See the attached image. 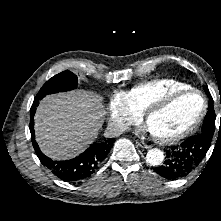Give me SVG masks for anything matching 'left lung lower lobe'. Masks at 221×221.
<instances>
[{
	"mask_svg": "<svg viewBox=\"0 0 221 221\" xmlns=\"http://www.w3.org/2000/svg\"><path fill=\"white\" fill-rule=\"evenodd\" d=\"M209 147V143L198 135L191 136L180 145L170 147L164 163L154 171L168 180L186 177L202 162Z\"/></svg>",
	"mask_w": 221,
	"mask_h": 221,
	"instance_id": "left-lung-lower-lobe-1",
	"label": "left lung lower lobe"
}]
</instances>
